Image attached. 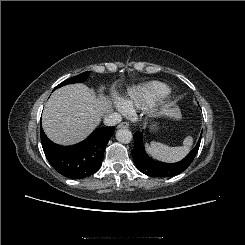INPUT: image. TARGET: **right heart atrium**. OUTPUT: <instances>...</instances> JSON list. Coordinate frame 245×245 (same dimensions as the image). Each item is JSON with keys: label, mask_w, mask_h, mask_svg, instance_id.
Segmentation results:
<instances>
[{"label": "right heart atrium", "mask_w": 245, "mask_h": 245, "mask_svg": "<svg viewBox=\"0 0 245 245\" xmlns=\"http://www.w3.org/2000/svg\"><path fill=\"white\" fill-rule=\"evenodd\" d=\"M114 106L117 110L121 111L123 108V104L120 102V100H115Z\"/></svg>", "instance_id": "1"}]
</instances>
